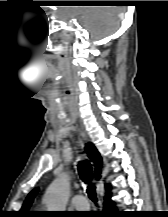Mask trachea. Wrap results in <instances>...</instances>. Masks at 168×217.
Here are the masks:
<instances>
[{"mask_svg":"<svg viewBox=\"0 0 168 217\" xmlns=\"http://www.w3.org/2000/svg\"><path fill=\"white\" fill-rule=\"evenodd\" d=\"M78 172L80 175L81 180L87 184V194L89 196V198L93 201V202H97V195H96V191H95V186L93 184H91L92 178H93V174H92V167L91 164L85 160L83 162H80L78 164Z\"/></svg>","mask_w":168,"mask_h":217,"instance_id":"3493384b","label":"trachea"}]
</instances>
